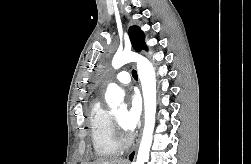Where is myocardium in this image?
I'll return each instance as SVG.
<instances>
[{"mask_svg":"<svg viewBox=\"0 0 251 164\" xmlns=\"http://www.w3.org/2000/svg\"><path fill=\"white\" fill-rule=\"evenodd\" d=\"M113 119V124L115 128V135H116V140L119 144L120 147L127 146L130 142V137L123 131L120 123L117 121V119L112 116Z\"/></svg>","mask_w":251,"mask_h":164,"instance_id":"f54148a6","label":"myocardium"}]
</instances>
